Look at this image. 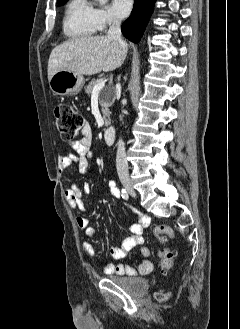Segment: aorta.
<instances>
[{
  "instance_id": "1",
  "label": "aorta",
  "mask_w": 240,
  "mask_h": 329,
  "mask_svg": "<svg viewBox=\"0 0 240 329\" xmlns=\"http://www.w3.org/2000/svg\"><path fill=\"white\" fill-rule=\"evenodd\" d=\"M97 1H99L101 4H105L107 3L108 0H97Z\"/></svg>"
}]
</instances>
